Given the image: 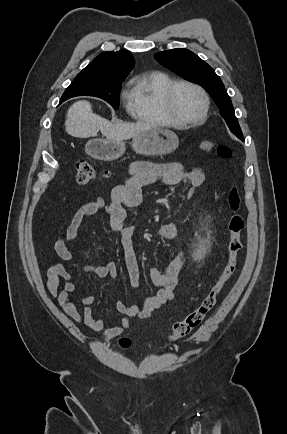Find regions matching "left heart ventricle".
Listing matches in <instances>:
<instances>
[{"mask_svg":"<svg viewBox=\"0 0 287 434\" xmlns=\"http://www.w3.org/2000/svg\"><path fill=\"white\" fill-rule=\"evenodd\" d=\"M174 112L181 119H194L203 109V101L200 94L192 87L178 86L173 94Z\"/></svg>","mask_w":287,"mask_h":434,"instance_id":"left-heart-ventricle-1","label":"left heart ventricle"}]
</instances>
